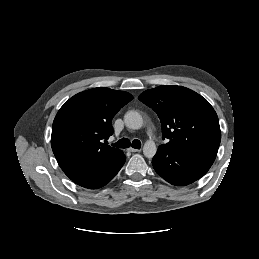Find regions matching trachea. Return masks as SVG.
<instances>
[{"mask_svg": "<svg viewBox=\"0 0 259 259\" xmlns=\"http://www.w3.org/2000/svg\"><path fill=\"white\" fill-rule=\"evenodd\" d=\"M130 145L135 149L141 148V142L137 139L133 140L131 143L129 139L122 138L117 143H115V146L118 148H128Z\"/></svg>", "mask_w": 259, "mask_h": 259, "instance_id": "1", "label": "trachea"}]
</instances>
